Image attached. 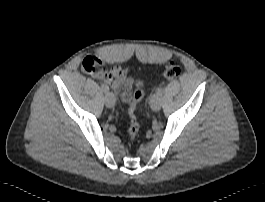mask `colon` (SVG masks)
<instances>
[{
  "instance_id": "1",
  "label": "colon",
  "mask_w": 265,
  "mask_h": 202,
  "mask_svg": "<svg viewBox=\"0 0 265 202\" xmlns=\"http://www.w3.org/2000/svg\"><path fill=\"white\" fill-rule=\"evenodd\" d=\"M179 74H180L179 66L176 63L171 62L166 66L163 75L166 79L172 80L175 79ZM143 97H144V92L141 90H138L134 93V102L130 110V123L128 129V133L131 138H135L138 135L139 124L136 115L134 113V109H135V104L141 101Z\"/></svg>"
}]
</instances>
